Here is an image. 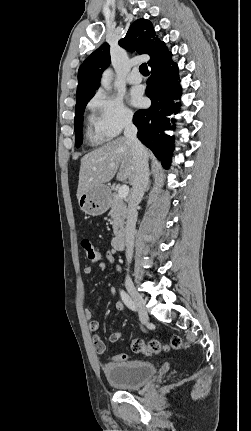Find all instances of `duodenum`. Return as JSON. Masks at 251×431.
Here are the masks:
<instances>
[{
  "label": "duodenum",
  "mask_w": 251,
  "mask_h": 431,
  "mask_svg": "<svg viewBox=\"0 0 251 431\" xmlns=\"http://www.w3.org/2000/svg\"><path fill=\"white\" fill-rule=\"evenodd\" d=\"M126 245V235L123 231L118 232L112 239V246L118 251L124 250Z\"/></svg>",
  "instance_id": "obj_1"
}]
</instances>
